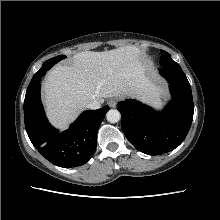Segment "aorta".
<instances>
[{
  "label": "aorta",
  "mask_w": 220,
  "mask_h": 220,
  "mask_svg": "<svg viewBox=\"0 0 220 220\" xmlns=\"http://www.w3.org/2000/svg\"><path fill=\"white\" fill-rule=\"evenodd\" d=\"M106 118H107V121H109L110 123H116L120 121L121 114L116 109H110L106 114Z\"/></svg>",
  "instance_id": "obj_1"
}]
</instances>
